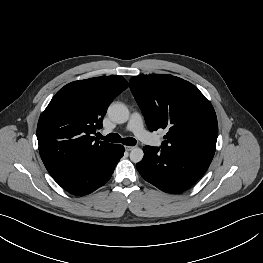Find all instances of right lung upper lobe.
Listing matches in <instances>:
<instances>
[{"instance_id":"cb5924a9","label":"right lung upper lobe","mask_w":263,"mask_h":263,"mask_svg":"<svg viewBox=\"0 0 263 263\" xmlns=\"http://www.w3.org/2000/svg\"><path fill=\"white\" fill-rule=\"evenodd\" d=\"M128 87L122 76L71 82L61 88L41 114L37 139L41 159L57 181L114 144L92 136L113 98Z\"/></svg>"}]
</instances>
